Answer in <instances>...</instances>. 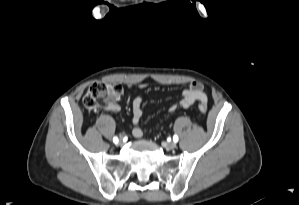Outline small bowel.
I'll return each instance as SVG.
<instances>
[{
	"instance_id": "1",
	"label": "small bowel",
	"mask_w": 299,
	"mask_h": 205,
	"mask_svg": "<svg viewBox=\"0 0 299 205\" xmlns=\"http://www.w3.org/2000/svg\"><path fill=\"white\" fill-rule=\"evenodd\" d=\"M141 87L143 88L145 85L143 84ZM197 101L207 103V96L203 91V85L200 82L193 81L189 84L187 89L182 91L178 103L171 105L168 111L172 113L178 106L182 108H189ZM143 103L144 99L142 96L135 97L132 102V122L134 124L132 135L135 138H140L143 135L142 129L138 126L143 116ZM108 108L114 112H118L120 110V106L118 104H113Z\"/></svg>"
}]
</instances>
